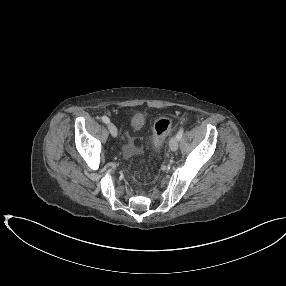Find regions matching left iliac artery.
Returning a JSON list of instances; mask_svg holds the SVG:
<instances>
[{
    "instance_id": "44dca946",
    "label": "left iliac artery",
    "mask_w": 286,
    "mask_h": 286,
    "mask_svg": "<svg viewBox=\"0 0 286 286\" xmlns=\"http://www.w3.org/2000/svg\"><path fill=\"white\" fill-rule=\"evenodd\" d=\"M183 133H184V129L181 128V129L178 131L177 135H176V137H177L178 140H180V139L182 138Z\"/></svg>"
}]
</instances>
